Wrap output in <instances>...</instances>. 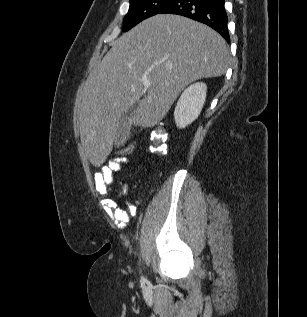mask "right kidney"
<instances>
[{"instance_id": "right-kidney-1", "label": "right kidney", "mask_w": 307, "mask_h": 317, "mask_svg": "<svg viewBox=\"0 0 307 317\" xmlns=\"http://www.w3.org/2000/svg\"><path fill=\"white\" fill-rule=\"evenodd\" d=\"M205 83L197 82L187 87L181 94L174 110L178 128H185L200 115L206 99Z\"/></svg>"}]
</instances>
